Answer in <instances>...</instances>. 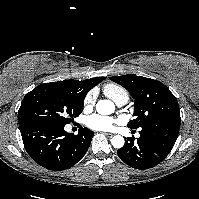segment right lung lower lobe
I'll list each match as a JSON object with an SVG mask.
<instances>
[{
	"label": "right lung lower lobe",
	"mask_w": 199,
	"mask_h": 199,
	"mask_svg": "<svg viewBox=\"0 0 199 199\" xmlns=\"http://www.w3.org/2000/svg\"><path fill=\"white\" fill-rule=\"evenodd\" d=\"M65 125L27 123L20 125L24 147L30 157L48 170H65L79 162L87 152L94 132L80 128L77 135Z\"/></svg>",
	"instance_id": "obj_1"
}]
</instances>
